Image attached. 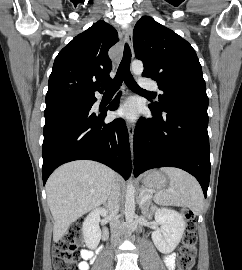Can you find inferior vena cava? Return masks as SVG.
Segmentation results:
<instances>
[{
  "mask_svg": "<svg viewBox=\"0 0 242 270\" xmlns=\"http://www.w3.org/2000/svg\"><path fill=\"white\" fill-rule=\"evenodd\" d=\"M120 187L114 183L108 196L107 212H109V221L111 228V241L116 245L120 240L121 223L117 217L119 211Z\"/></svg>",
  "mask_w": 242,
  "mask_h": 270,
  "instance_id": "inferior-vena-cava-1",
  "label": "inferior vena cava"
}]
</instances>
